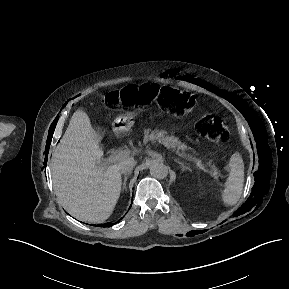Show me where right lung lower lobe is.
Masks as SVG:
<instances>
[{"mask_svg":"<svg viewBox=\"0 0 289 289\" xmlns=\"http://www.w3.org/2000/svg\"><path fill=\"white\" fill-rule=\"evenodd\" d=\"M111 225H113V224H111V223H107V224H106V226H111Z\"/></svg>","mask_w":289,"mask_h":289,"instance_id":"obj_1","label":"right lung lower lobe"}]
</instances>
